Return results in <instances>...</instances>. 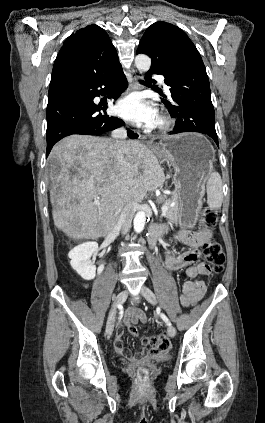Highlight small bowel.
<instances>
[{"mask_svg": "<svg viewBox=\"0 0 265 423\" xmlns=\"http://www.w3.org/2000/svg\"><path fill=\"white\" fill-rule=\"evenodd\" d=\"M155 227L163 232L168 230L167 225H157ZM212 236L213 233L208 229L201 231L178 230L175 233V239L187 246L188 250L178 255L170 251L166 252L165 264L167 268L171 271L185 268L186 274L190 277V280L184 283L180 295L181 303L186 307L194 305L205 292V282L202 278L209 274L210 268L207 263L198 261V247ZM123 320L126 324H137L138 322H145L146 315L139 308H131L125 312ZM115 350L127 360L133 359V356L124 348L123 331L120 329L116 332Z\"/></svg>", "mask_w": 265, "mask_h": 423, "instance_id": "c3829d8e", "label": "small bowel"}]
</instances>
